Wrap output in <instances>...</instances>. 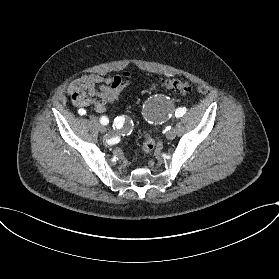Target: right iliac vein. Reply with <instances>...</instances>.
<instances>
[{
    "instance_id": "1",
    "label": "right iliac vein",
    "mask_w": 279,
    "mask_h": 279,
    "mask_svg": "<svg viewBox=\"0 0 279 279\" xmlns=\"http://www.w3.org/2000/svg\"><path fill=\"white\" fill-rule=\"evenodd\" d=\"M92 119L97 121V117H95V116H93ZM98 126H99V131L101 133H105L106 129L103 127V125L98 123Z\"/></svg>"
}]
</instances>
